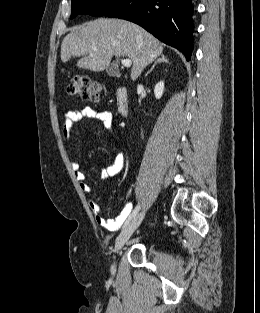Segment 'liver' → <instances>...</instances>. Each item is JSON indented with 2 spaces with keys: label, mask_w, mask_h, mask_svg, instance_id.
I'll list each match as a JSON object with an SVG mask.
<instances>
[{
  "label": "liver",
  "mask_w": 260,
  "mask_h": 313,
  "mask_svg": "<svg viewBox=\"0 0 260 313\" xmlns=\"http://www.w3.org/2000/svg\"><path fill=\"white\" fill-rule=\"evenodd\" d=\"M96 49V50H95ZM163 52L158 39L142 27L121 19L99 18L74 27L61 44V60L81 57L77 67L94 72L107 69L113 56L128 57L132 79Z\"/></svg>",
  "instance_id": "obj_1"
}]
</instances>
